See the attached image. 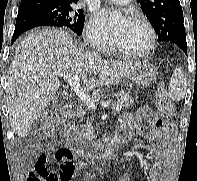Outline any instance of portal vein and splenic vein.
Returning a JSON list of instances; mask_svg holds the SVG:
<instances>
[{
    "label": "portal vein and splenic vein",
    "instance_id": "obj_1",
    "mask_svg": "<svg viewBox=\"0 0 197 181\" xmlns=\"http://www.w3.org/2000/svg\"><path fill=\"white\" fill-rule=\"evenodd\" d=\"M55 76L62 77L64 80L67 81V83L71 86V88L74 90V92L77 94V96L88 106L90 109H96V105L94 101L91 99V97L86 94V92L81 88L80 86V79L81 76L79 75H67L60 71H55L52 73ZM122 106L116 105L113 107V110L115 112L121 111Z\"/></svg>",
    "mask_w": 197,
    "mask_h": 181
}]
</instances>
